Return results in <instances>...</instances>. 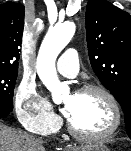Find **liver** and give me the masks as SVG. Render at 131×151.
<instances>
[{"instance_id":"6515ba94","label":"liver","mask_w":131,"mask_h":151,"mask_svg":"<svg viewBox=\"0 0 131 151\" xmlns=\"http://www.w3.org/2000/svg\"><path fill=\"white\" fill-rule=\"evenodd\" d=\"M0 151H45L42 141L0 122Z\"/></svg>"}]
</instances>
